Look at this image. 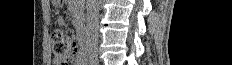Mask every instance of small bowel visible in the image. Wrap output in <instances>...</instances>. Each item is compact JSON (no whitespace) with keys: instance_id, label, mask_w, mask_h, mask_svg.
Masks as SVG:
<instances>
[{"instance_id":"c3829d8e","label":"small bowel","mask_w":232,"mask_h":65,"mask_svg":"<svg viewBox=\"0 0 232 65\" xmlns=\"http://www.w3.org/2000/svg\"><path fill=\"white\" fill-rule=\"evenodd\" d=\"M60 24H63V21H60ZM87 60V52L80 50L74 60V65H85Z\"/></svg>"}]
</instances>
